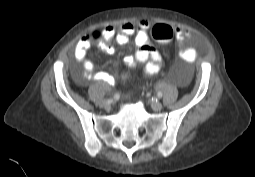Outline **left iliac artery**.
Returning <instances> with one entry per match:
<instances>
[{
    "label": "left iliac artery",
    "instance_id": "44dca946",
    "mask_svg": "<svg viewBox=\"0 0 255 177\" xmlns=\"http://www.w3.org/2000/svg\"><path fill=\"white\" fill-rule=\"evenodd\" d=\"M157 96H158V98H161V97H162V92H161V91H158V92H157Z\"/></svg>",
    "mask_w": 255,
    "mask_h": 177
}]
</instances>
